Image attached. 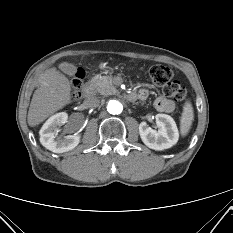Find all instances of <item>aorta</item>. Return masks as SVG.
Returning a JSON list of instances; mask_svg holds the SVG:
<instances>
[{"mask_svg": "<svg viewBox=\"0 0 233 233\" xmlns=\"http://www.w3.org/2000/svg\"><path fill=\"white\" fill-rule=\"evenodd\" d=\"M123 110V105L117 100H110L107 105V111L110 114H120Z\"/></svg>", "mask_w": 233, "mask_h": 233, "instance_id": "aorta-1", "label": "aorta"}]
</instances>
